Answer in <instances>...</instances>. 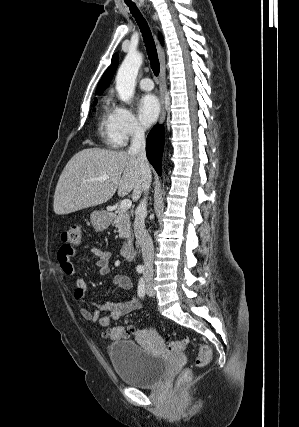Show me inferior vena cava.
<instances>
[{
	"instance_id": "obj_1",
	"label": "inferior vena cava",
	"mask_w": 299,
	"mask_h": 427,
	"mask_svg": "<svg viewBox=\"0 0 299 427\" xmlns=\"http://www.w3.org/2000/svg\"><path fill=\"white\" fill-rule=\"evenodd\" d=\"M130 154L137 156L140 172L142 175V186L145 197L140 201L135 210L134 233L137 243L142 250V257L145 266V274H153L154 246L151 236L145 228V217L147 215V193L151 183V171L145 151V133L141 127H135L131 139V145L128 151Z\"/></svg>"
}]
</instances>
